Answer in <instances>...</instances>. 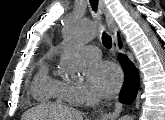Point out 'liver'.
Returning <instances> with one entry per match:
<instances>
[{
    "mask_svg": "<svg viewBox=\"0 0 165 120\" xmlns=\"http://www.w3.org/2000/svg\"><path fill=\"white\" fill-rule=\"evenodd\" d=\"M48 114L56 116L59 120H83L78 111L68 106H59L55 109L48 106H38L25 112L23 120H42Z\"/></svg>",
    "mask_w": 165,
    "mask_h": 120,
    "instance_id": "obj_1",
    "label": "liver"
}]
</instances>
